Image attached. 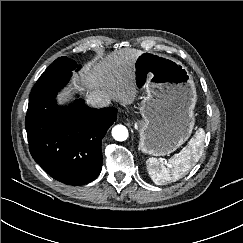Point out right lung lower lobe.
<instances>
[{
  "label": "right lung lower lobe",
  "instance_id": "98d812e1",
  "mask_svg": "<svg viewBox=\"0 0 243 243\" xmlns=\"http://www.w3.org/2000/svg\"><path fill=\"white\" fill-rule=\"evenodd\" d=\"M72 72H44L34 85L25 119L33 159L54 179L83 185L102 168L101 142L117 117L114 108L92 109L82 99L56 105L57 92Z\"/></svg>",
  "mask_w": 243,
  "mask_h": 243
}]
</instances>
